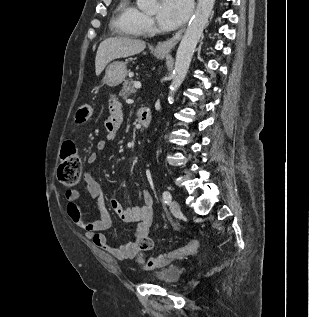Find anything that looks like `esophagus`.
<instances>
[{
	"label": "esophagus",
	"mask_w": 309,
	"mask_h": 317,
	"mask_svg": "<svg viewBox=\"0 0 309 317\" xmlns=\"http://www.w3.org/2000/svg\"><path fill=\"white\" fill-rule=\"evenodd\" d=\"M184 31V28L180 29L175 35H173L171 38L163 41V42H159L156 45V50L158 52H162V53H169L172 48H174L176 46V44L179 42L182 33Z\"/></svg>",
	"instance_id": "34e87169"
}]
</instances>
